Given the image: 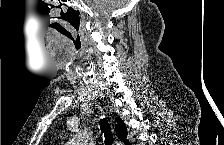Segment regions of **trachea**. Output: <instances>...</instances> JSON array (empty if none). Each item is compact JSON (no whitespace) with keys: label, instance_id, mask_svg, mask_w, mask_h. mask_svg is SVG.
I'll return each mask as SVG.
<instances>
[{"label":"trachea","instance_id":"obj_1","mask_svg":"<svg viewBox=\"0 0 224 145\" xmlns=\"http://www.w3.org/2000/svg\"><path fill=\"white\" fill-rule=\"evenodd\" d=\"M100 129L104 133L105 145H112L114 142V137L108 120H106L105 118L100 121Z\"/></svg>","mask_w":224,"mask_h":145}]
</instances>
